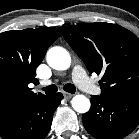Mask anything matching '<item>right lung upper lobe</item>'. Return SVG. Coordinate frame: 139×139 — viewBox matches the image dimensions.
<instances>
[{
	"label": "right lung upper lobe",
	"instance_id": "cb5924a9",
	"mask_svg": "<svg viewBox=\"0 0 139 139\" xmlns=\"http://www.w3.org/2000/svg\"><path fill=\"white\" fill-rule=\"evenodd\" d=\"M60 36L54 27L0 33V116L46 97L28 85L38 81L36 68Z\"/></svg>",
	"mask_w": 139,
	"mask_h": 139
}]
</instances>
